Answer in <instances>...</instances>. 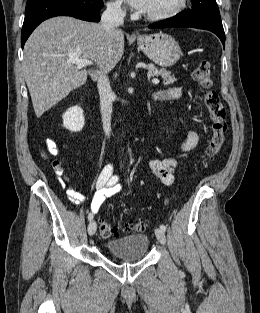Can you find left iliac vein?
Returning a JSON list of instances; mask_svg holds the SVG:
<instances>
[{"label": "left iliac vein", "mask_w": 260, "mask_h": 313, "mask_svg": "<svg viewBox=\"0 0 260 313\" xmlns=\"http://www.w3.org/2000/svg\"><path fill=\"white\" fill-rule=\"evenodd\" d=\"M155 235L158 239V241L161 243V244H165L166 242V237H165V232L160 229V228H156L155 229Z\"/></svg>", "instance_id": "left-iliac-vein-1"}]
</instances>
